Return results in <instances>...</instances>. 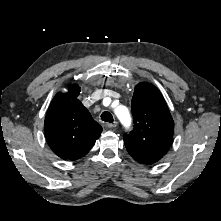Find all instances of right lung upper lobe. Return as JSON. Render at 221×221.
<instances>
[{"label":"right lung upper lobe","instance_id":"cb5924a9","mask_svg":"<svg viewBox=\"0 0 221 221\" xmlns=\"http://www.w3.org/2000/svg\"><path fill=\"white\" fill-rule=\"evenodd\" d=\"M80 87L69 86L53 98L44 122L45 137L53 152L62 159L85 156L99 138L102 127L78 100Z\"/></svg>","mask_w":221,"mask_h":221}]
</instances>
